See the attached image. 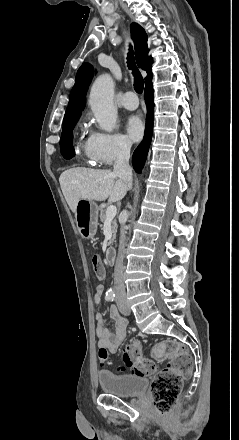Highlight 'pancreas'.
Returning a JSON list of instances; mask_svg holds the SVG:
<instances>
[{
  "label": "pancreas",
  "instance_id": "obj_1",
  "mask_svg": "<svg viewBox=\"0 0 239 440\" xmlns=\"http://www.w3.org/2000/svg\"><path fill=\"white\" fill-rule=\"evenodd\" d=\"M101 212H100V222H105L107 216H106V212L107 210H105V208H100ZM117 224H116V220H111V230H112V240H109L108 242V246H111V244H113L115 238H116V232H117Z\"/></svg>",
  "mask_w": 239,
  "mask_h": 440
}]
</instances>
